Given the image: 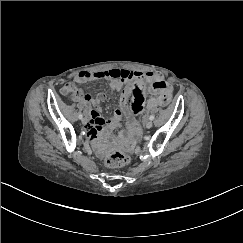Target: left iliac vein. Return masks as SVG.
<instances>
[{"mask_svg": "<svg viewBox=\"0 0 243 243\" xmlns=\"http://www.w3.org/2000/svg\"><path fill=\"white\" fill-rule=\"evenodd\" d=\"M153 126V122L151 120H148L146 123H145V127L147 129H150L151 127Z\"/></svg>", "mask_w": 243, "mask_h": 243, "instance_id": "obj_1", "label": "left iliac vein"}]
</instances>
